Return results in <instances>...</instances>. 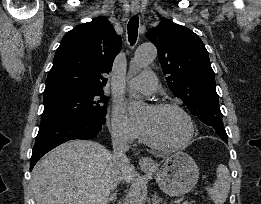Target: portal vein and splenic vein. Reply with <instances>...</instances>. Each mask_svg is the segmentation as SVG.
<instances>
[{
	"label": "portal vein and splenic vein",
	"mask_w": 261,
	"mask_h": 204,
	"mask_svg": "<svg viewBox=\"0 0 261 204\" xmlns=\"http://www.w3.org/2000/svg\"><path fill=\"white\" fill-rule=\"evenodd\" d=\"M178 203H181V204H189L188 200L184 199V198H181L178 200Z\"/></svg>",
	"instance_id": "obj_1"
}]
</instances>
